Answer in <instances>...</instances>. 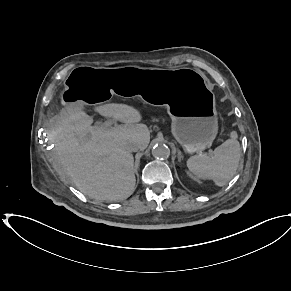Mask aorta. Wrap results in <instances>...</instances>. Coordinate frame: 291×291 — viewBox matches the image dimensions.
I'll return each mask as SVG.
<instances>
[{
    "mask_svg": "<svg viewBox=\"0 0 291 291\" xmlns=\"http://www.w3.org/2000/svg\"><path fill=\"white\" fill-rule=\"evenodd\" d=\"M152 155L157 159H167L170 156V149L165 144H157L152 149Z\"/></svg>",
    "mask_w": 291,
    "mask_h": 291,
    "instance_id": "aorta-1",
    "label": "aorta"
}]
</instances>
